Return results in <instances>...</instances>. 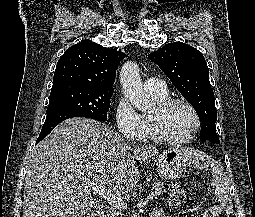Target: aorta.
Returning <instances> with one entry per match:
<instances>
[{
  "instance_id": "762f6f07",
  "label": "aorta",
  "mask_w": 255,
  "mask_h": 217,
  "mask_svg": "<svg viewBox=\"0 0 255 217\" xmlns=\"http://www.w3.org/2000/svg\"><path fill=\"white\" fill-rule=\"evenodd\" d=\"M120 83L124 96L139 111L145 112L152 109L153 103L144 91L139 67L136 63L128 61L123 64L120 70Z\"/></svg>"
}]
</instances>
